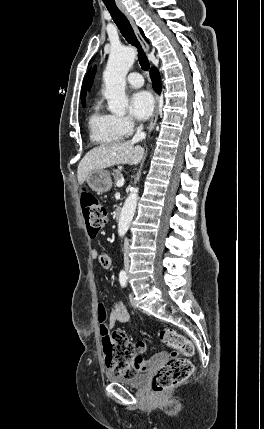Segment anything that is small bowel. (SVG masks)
Here are the masks:
<instances>
[{
    "label": "small bowel",
    "mask_w": 264,
    "mask_h": 429,
    "mask_svg": "<svg viewBox=\"0 0 264 429\" xmlns=\"http://www.w3.org/2000/svg\"><path fill=\"white\" fill-rule=\"evenodd\" d=\"M91 256L94 259L98 258L99 263H100L102 268H104V269L111 268L112 259L108 254H105V253L99 254L96 249H93L91 251ZM99 305L104 306L101 303ZM127 320H128V313H127L125 306L121 302L114 303L111 307V310H110V313L108 316V321L106 322L107 330L105 331L100 327V334L102 336V344H103L104 340L106 339L107 335L109 334L110 328H112L117 322H125ZM135 348H136L138 354L135 355V358H134L132 365L135 368V370H137V372L147 371L150 368L161 364L162 362L167 360L168 357L170 356L167 353H159V354L154 355L150 359H145L143 357V354L147 351L148 344L145 342H136Z\"/></svg>",
    "instance_id": "small-bowel-1"
}]
</instances>
